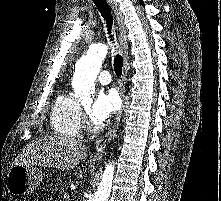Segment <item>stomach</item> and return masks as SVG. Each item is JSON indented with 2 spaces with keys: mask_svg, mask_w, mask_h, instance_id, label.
Here are the masks:
<instances>
[{
  "mask_svg": "<svg viewBox=\"0 0 221 201\" xmlns=\"http://www.w3.org/2000/svg\"><path fill=\"white\" fill-rule=\"evenodd\" d=\"M42 172L35 166L14 164L7 175L6 189L15 196L32 193L41 184Z\"/></svg>",
  "mask_w": 221,
  "mask_h": 201,
  "instance_id": "1",
  "label": "stomach"
}]
</instances>
